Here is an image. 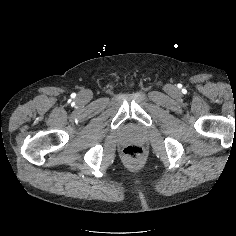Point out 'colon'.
I'll use <instances>...</instances> for the list:
<instances>
[{
  "instance_id": "colon-1",
  "label": "colon",
  "mask_w": 236,
  "mask_h": 236,
  "mask_svg": "<svg viewBox=\"0 0 236 236\" xmlns=\"http://www.w3.org/2000/svg\"><path fill=\"white\" fill-rule=\"evenodd\" d=\"M123 154L129 160H139L143 156V149L138 145H128L124 148Z\"/></svg>"
}]
</instances>
